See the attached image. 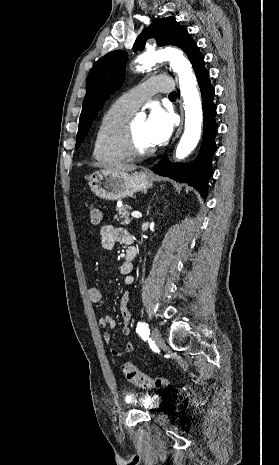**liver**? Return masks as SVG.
Returning a JSON list of instances; mask_svg holds the SVG:
<instances>
[{"mask_svg":"<svg viewBox=\"0 0 279 465\" xmlns=\"http://www.w3.org/2000/svg\"><path fill=\"white\" fill-rule=\"evenodd\" d=\"M136 168H137L136 165L118 163V164H115V165H112V166L108 167L106 169V171H110V172H129V171L135 170Z\"/></svg>","mask_w":279,"mask_h":465,"instance_id":"1","label":"liver"}]
</instances>
